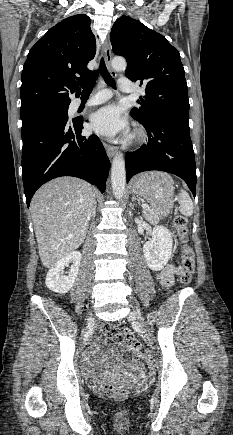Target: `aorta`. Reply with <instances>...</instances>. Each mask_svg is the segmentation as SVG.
Here are the masks:
<instances>
[{
    "instance_id": "1",
    "label": "aorta",
    "mask_w": 233,
    "mask_h": 435,
    "mask_svg": "<svg viewBox=\"0 0 233 435\" xmlns=\"http://www.w3.org/2000/svg\"><path fill=\"white\" fill-rule=\"evenodd\" d=\"M112 67L116 71H124L127 67L126 60L123 58H114ZM111 182L113 195L116 199H121L125 193L126 171L125 160L122 153H116L111 168Z\"/></svg>"
}]
</instances>
